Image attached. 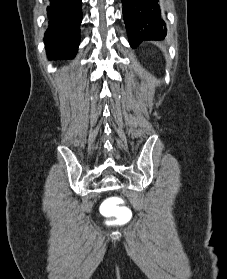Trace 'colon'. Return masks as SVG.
Here are the masks:
<instances>
[{
  "instance_id": "5ec220e1",
  "label": "colon",
  "mask_w": 227,
  "mask_h": 279,
  "mask_svg": "<svg viewBox=\"0 0 227 279\" xmlns=\"http://www.w3.org/2000/svg\"><path fill=\"white\" fill-rule=\"evenodd\" d=\"M116 199L122 200L121 197H116ZM129 217H130V211L127 207L124 206H119L117 213L108 216V218L111 220H122V221L128 220Z\"/></svg>"
}]
</instances>
